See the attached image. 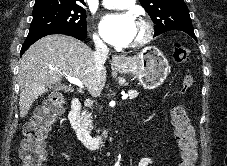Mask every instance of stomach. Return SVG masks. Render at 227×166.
I'll return each mask as SVG.
<instances>
[{"label": "stomach", "instance_id": "1", "mask_svg": "<svg viewBox=\"0 0 227 166\" xmlns=\"http://www.w3.org/2000/svg\"><path fill=\"white\" fill-rule=\"evenodd\" d=\"M115 69L123 74L135 75L145 89L159 87L170 72L169 62L155 46H149L133 57L123 59Z\"/></svg>", "mask_w": 227, "mask_h": 166}]
</instances>
